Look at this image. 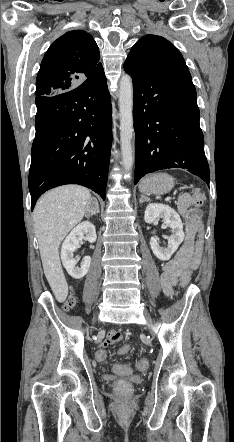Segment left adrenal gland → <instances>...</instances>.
I'll list each match as a JSON object with an SVG mask.
<instances>
[{
    "label": "left adrenal gland",
    "instance_id": "a2214340",
    "mask_svg": "<svg viewBox=\"0 0 234 442\" xmlns=\"http://www.w3.org/2000/svg\"><path fill=\"white\" fill-rule=\"evenodd\" d=\"M148 201H150V199L147 196L141 195V198L139 200L140 203L148 202Z\"/></svg>",
    "mask_w": 234,
    "mask_h": 442
}]
</instances>
